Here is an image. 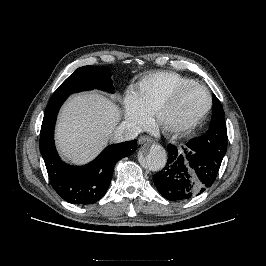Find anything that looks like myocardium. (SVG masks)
Instances as JSON below:
<instances>
[{"mask_svg": "<svg viewBox=\"0 0 266 266\" xmlns=\"http://www.w3.org/2000/svg\"><path fill=\"white\" fill-rule=\"evenodd\" d=\"M191 87H197L205 91L206 96H207V106L204 109V111L200 115H198L196 118L190 121L177 124V125L166 124L164 121V117L166 113L174 106V104L176 103L180 95ZM212 104H213L212 96H211L209 89L206 86L198 82L187 83V84L181 85L173 89L165 97V99L161 102V104L158 106L157 110L155 111V114H154L155 121H156L157 126L166 133H174V134L184 133V132L194 129L207 117V115L209 114L212 108Z\"/></svg>", "mask_w": 266, "mask_h": 266, "instance_id": "1", "label": "myocardium"}]
</instances>
